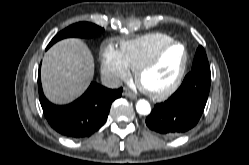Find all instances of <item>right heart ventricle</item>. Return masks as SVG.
Instances as JSON below:
<instances>
[{"instance_id":"right-heart-ventricle-1","label":"right heart ventricle","mask_w":249,"mask_h":165,"mask_svg":"<svg viewBox=\"0 0 249 165\" xmlns=\"http://www.w3.org/2000/svg\"><path fill=\"white\" fill-rule=\"evenodd\" d=\"M174 39L165 33L153 32L138 38L122 42L120 53L130 70L135 69L146 59L152 57L163 46Z\"/></svg>"}]
</instances>
